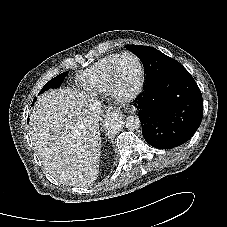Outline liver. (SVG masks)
<instances>
[{
  "label": "liver",
  "mask_w": 227,
  "mask_h": 227,
  "mask_svg": "<svg viewBox=\"0 0 227 227\" xmlns=\"http://www.w3.org/2000/svg\"><path fill=\"white\" fill-rule=\"evenodd\" d=\"M93 104L100 106L69 88L54 89L38 97L30 115L37 153L48 173L65 185L89 186L98 177L100 115Z\"/></svg>",
  "instance_id": "liver-1"
}]
</instances>
